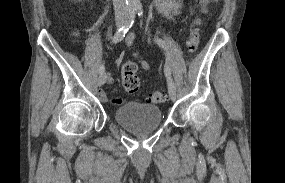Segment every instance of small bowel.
Segmentation results:
<instances>
[{
	"label": "small bowel",
	"mask_w": 285,
	"mask_h": 183,
	"mask_svg": "<svg viewBox=\"0 0 285 183\" xmlns=\"http://www.w3.org/2000/svg\"><path fill=\"white\" fill-rule=\"evenodd\" d=\"M155 6L158 10V12L166 19H174L182 12V0H154ZM134 42V35H129L126 39V43L129 47L132 46ZM134 57L137 60L138 65L145 71H148L150 69V64L143 59L138 53L134 52ZM105 65V60H103V66ZM106 81L107 83L113 82V77L110 74L106 75ZM101 98L106 101L107 97L105 94H100ZM116 102H119V100H116Z\"/></svg>",
	"instance_id": "c3829d8e"
}]
</instances>
